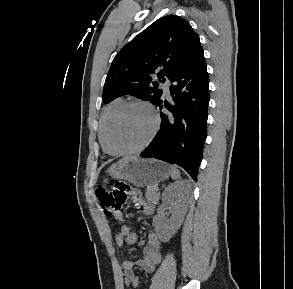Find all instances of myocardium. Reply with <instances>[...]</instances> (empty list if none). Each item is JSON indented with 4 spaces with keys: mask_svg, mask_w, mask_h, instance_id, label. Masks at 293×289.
I'll return each instance as SVG.
<instances>
[{
    "mask_svg": "<svg viewBox=\"0 0 293 289\" xmlns=\"http://www.w3.org/2000/svg\"><path fill=\"white\" fill-rule=\"evenodd\" d=\"M133 105H141L146 107L152 115L153 118V127L152 130L149 134V136L147 137V139L138 147L133 148V149H128V150H114L111 147V143H110V134H111V130L113 127V124L115 122V120L117 119V117L128 107L133 106ZM160 116L157 112V110L155 109V107L150 104L147 101L141 100V99H133L130 101H126L123 104H121L112 114V116L110 117L107 126H106V130H105V136H104V151L111 155V156H125V155H130V154H134V153H138L142 150H144L146 147H148L151 142L154 140V138L156 137L159 128H160Z\"/></svg>",
    "mask_w": 293,
    "mask_h": 289,
    "instance_id": "1",
    "label": "myocardium"
}]
</instances>
